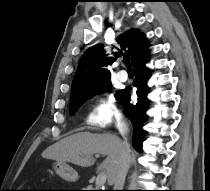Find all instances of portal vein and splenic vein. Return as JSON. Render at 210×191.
Returning a JSON list of instances; mask_svg holds the SVG:
<instances>
[{
	"mask_svg": "<svg viewBox=\"0 0 210 191\" xmlns=\"http://www.w3.org/2000/svg\"><path fill=\"white\" fill-rule=\"evenodd\" d=\"M99 155H96V157H98ZM106 174L105 173H100L98 176H97V178H96V187H97V189L98 188H101L103 185H104V183L106 182Z\"/></svg>",
	"mask_w": 210,
	"mask_h": 191,
	"instance_id": "portal-vein-and-splenic-vein-1",
	"label": "portal vein and splenic vein"
}]
</instances>
